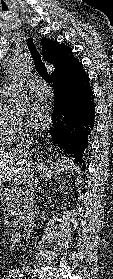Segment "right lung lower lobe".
<instances>
[{"label":"right lung lower lobe","mask_w":113,"mask_h":279,"mask_svg":"<svg viewBox=\"0 0 113 279\" xmlns=\"http://www.w3.org/2000/svg\"><path fill=\"white\" fill-rule=\"evenodd\" d=\"M55 92L53 125L49 129L53 145L74 155L77 161L88 143V135L94 127L95 105L89 78L82 63L63 76L52 78Z\"/></svg>","instance_id":"1"}]
</instances>
